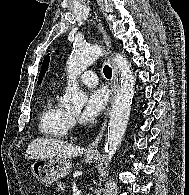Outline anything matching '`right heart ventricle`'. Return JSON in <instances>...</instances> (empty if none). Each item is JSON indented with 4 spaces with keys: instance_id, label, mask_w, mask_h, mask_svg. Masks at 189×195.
Instances as JSON below:
<instances>
[{
    "instance_id": "obj_1",
    "label": "right heart ventricle",
    "mask_w": 189,
    "mask_h": 195,
    "mask_svg": "<svg viewBox=\"0 0 189 195\" xmlns=\"http://www.w3.org/2000/svg\"><path fill=\"white\" fill-rule=\"evenodd\" d=\"M70 126V113L58 104L55 94L48 95L39 115L40 134L50 138H64Z\"/></svg>"
}]
</instances>
